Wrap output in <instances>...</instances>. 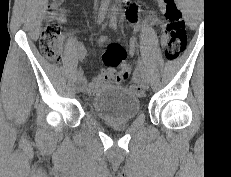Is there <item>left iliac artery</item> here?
<instances>
[{"label": "left iliac artery", "instance_id": "44dca946", "mask_svg": "<svg viewBox=\"0 0 231 177\" xmlns=\"http://www.w3.org/2000/svg\"><path fill=\"white\" fill-rule=\"evenodd\" d=\"M139 66V70L141 71V73L144 75L146 74V67H145V63L144 62H139L138 63Z\"/></svg>", "mask_w": 231, "mask_h": 177}]
</instances>
